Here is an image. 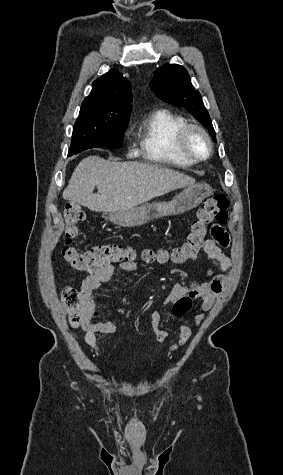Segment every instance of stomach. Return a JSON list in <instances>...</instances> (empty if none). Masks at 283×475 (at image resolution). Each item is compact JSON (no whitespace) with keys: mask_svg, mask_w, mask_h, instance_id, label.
Here are the masks:
<instances>
[{"mask_svg":"<svg viewBox=\"0 0 283 475\" xmlns=\"http://www.w3.org/2000/svg\"><path fill=\"white\" fill-rule=\"evenodd\" d=\"M213 190L208 184H194L184 188L178 196H175L171 202H154V204H145L141 208H131V210H118L110 212L109 220L117 226L132 228L138 224H146L153 218H162V216H176L183 214L188 210L197 208L205 198L211 196ZM150 210H155L154 214H149Z\"/></svg>","mask_w":283,"mask_h":475,"instance_id":"1","label":"stomach"}]
</instances>
